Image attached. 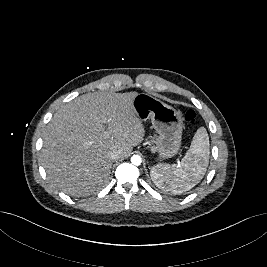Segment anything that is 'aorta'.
Returning <instances> with one entry per match:
<instances>
[{
    "instance_id": "obj_1",
    "label": "aorta",
    "mask_w": 267,
    "mask_h": 267,
    "mask_svg": "<svg viewBox=\"0 0 267 267\" xmlns=\"http://www.w3.org/2000/svg\"><path fill=\"white\" fill-rule=\"evenodd\" d=\"M141 162H142V159H141V157H140L139 155H133V156L131 157V163H132L133 165L138 166V165L141 164Z\"/></svg>"
}]
</instances>
